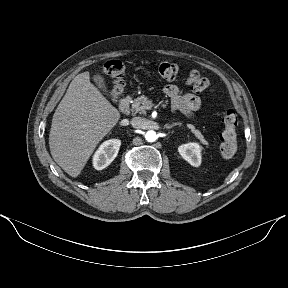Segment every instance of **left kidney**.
<instances>
[{
    "instance_id": "5707ae66",
    "label": "left kidney",
    "mask_w": 288,
    "mask_h": 288,
    "mask_svg": "<svg viewBox=\"0 0 288 288\" xmlns=\"http://www.w3.org/2000/svg\"><path fill=\"white\" fill-rule=\"evenodd\" d=\"M179 154L190 165L198 167L201 164V147L198 143L190 142L178 148Z\"/></svg>"
}]
</instances>
